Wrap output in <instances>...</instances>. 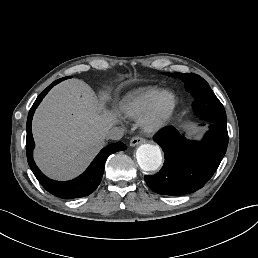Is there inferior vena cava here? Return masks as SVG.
<instances>
[{"label": "inferior vena cava", "instance_id": "602c4592", "mask_svg": "<svg viewBox=\"0 0 258 258\" xmlns=\"http://www.w3.org/2000/svg\"><path fill=\"white\" fill-rule=\"evenodd\" d=\"M124 129L121 127H113L107 132V139L120 140L123 137Z\"/></svg>", "mask_w": 258, "mask_h": 258}]
</instances>
